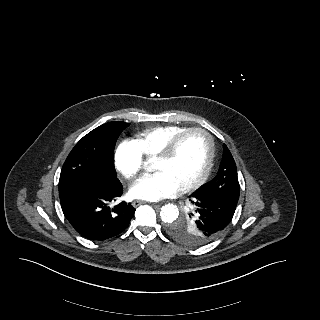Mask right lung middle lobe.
Instances as JSON below:
<instances>
[{
  "mask_svg": "<svg viewBox=\"0 0 320 320\" xmlns=\"http://www.w3.org/2000/svg\"><path fill=\"white\" fill-rule=\"evenodd\" d=\"M128 126L125 122H108L80 139L62 167L59 189L118 184L114 148L119 135Z\"/></svg>",
  "mask_w": 320,
  "mask_h": 320,
  "instance_id": "obj_1",
  "label": "right lung middle lobe"
}]
</instances>
